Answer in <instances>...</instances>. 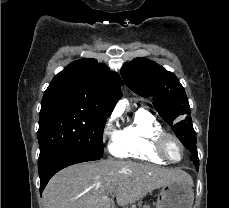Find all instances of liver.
Masks as SVG:
<instances>
[{"label": "liver", "instance_id": "liver-1", "mask_svg": "<svg viewBox=\"0 0 229 208\" xmlns=\"http://www.w3.org/2000/svg\"><path fill=\"white\" fill-rule=\"evenodd\" d=\"M170 182L193 186L183 170L100 160L61 170L51 178L42 198L47 208H111L109 194L115 192L118 206H129Z\"/></svg>", "mask_w": 229, "mask_h": 208}]
</instances>
